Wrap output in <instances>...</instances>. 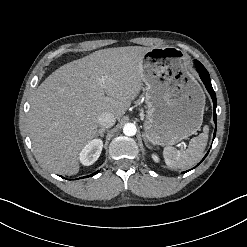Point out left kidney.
I'll list each match as a JSON object with an SVG mask.
<instances>
[{
    "instance_id": "obj_1",
    "label": "left kidney",
    "mask_w": 247,
    "mask_h": 247,
    "mask_svg": "<svg viewBox=\"0 0 247 247\" xmlns=\"http://www.w3.org/2000/svg\"><path fill=\"white\" fill-rule=\"evenodd\" d=\"M152 158L155 162H159V157L156 154H152Z\"/></svg>"
}]
</instances>
